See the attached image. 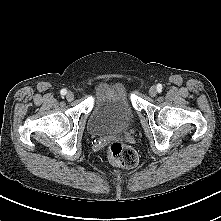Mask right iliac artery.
I'll return each mask as SVG.
<instances>
[{"label": "right iliac artery", "instance_id": "1", "mask_svg": "<svg viewBox=\"0 0 221 221\" xmlns=\"http://www.w3.org/2000/svg\"><path fill=\"white\" fill-rule=\"evenodd\" d=\"M67 93V91L65 90V89H62L61 91H60V94L61 95H65Z\"/></svg>", "mask_w": 221, "mask_h": 221}]
</instances>
